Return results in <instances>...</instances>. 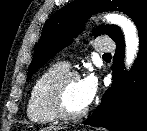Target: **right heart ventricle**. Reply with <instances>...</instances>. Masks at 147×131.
<instances>
[{
	"mask_svg": "<svg viewBox=\"0 0 147 131\" xmlns=\"http://www.w3.org/2000/svg\"><path fill=\"white\" fill-rule=\"evenodd\" d=\"M68 67L63 63H54L43 70L34 81L27 102V116L36 124H49L58 118L51 111L47 101V89L50 83Z\"/></svg>",
	"mask_w": 147,
	"mask_h": 131,
	"instance_id": "1",
	"label": "right heart ventricle"
}]
</instances>
